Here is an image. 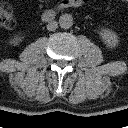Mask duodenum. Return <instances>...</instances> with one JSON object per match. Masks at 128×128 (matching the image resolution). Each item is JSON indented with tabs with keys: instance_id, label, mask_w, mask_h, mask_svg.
<instances>
[{
	"instance_id": "410a0bca",
	"label": "duodenum",
	"mask_w": 128,
	"mask_h": 128,
	"mask_svg": "<svg viewBox=\"0 0 128 128\" xmlns=\"http://www.w3.org/2000/svg\"><path fill=\"white\" fill-rule=\"evenodd\" d=\"M82 5L83 0H61L55 8L44 11L42 18L46 22H51L55 19L57 12L66 8H80Z\"/></svg>"
}]
</instances>
